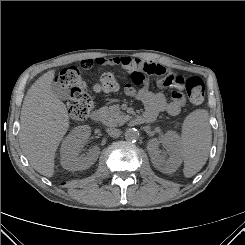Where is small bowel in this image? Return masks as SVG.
Listing matches in <instances>:
<instances>
[{"instance_id": "obj_1", "label": "small bowel", "mask_w": 245, "mask_h": 245, "mask_svg": "<svg viewBox=\"0 0 245 245\" xmlns=\"http://www.w3.org/2000/svg\"><path fill=\"white\" fill-rule=\"evenodd\" d=\"M93 63L99 66L119 65L131 73V75L133 73L142 74L144 79L139 88H135L133 86L134 84L131 82V84H126L124 86V90L127 95L132 96L143 103L145 107L144 115L151 118V121L161 112H166L171 116L178 115L186 103L185 95L183 93L185 83L183 77L167 72L165 67L158 63L128 56H115L97 57L94 61L86 59L82 61V66L84 68H90ZM144 75H165L158 81V87L162 89H172L171 100L168 101L161 91L154 92L149 90L148 80Z\"/></svg>"}]
</instances>
